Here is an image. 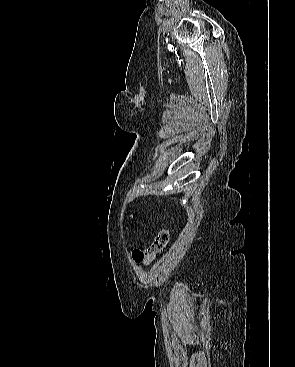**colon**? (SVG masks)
Masks as SVG:
<instances>
[{
	"instance_id": "obj_1",
	"label": "colon",
	"mask_w": 295,
	"mask_h": 367,
	"mask_svg": "<svg viewBox=\"0 0 295 367\" xmlns=\"http://www.w3.org/2000/svg\"><path fill=\"white\" fill-rule=\"evenodd\" d=\"M170 239L168 228L161 229L155 236L153 242L145 250H135L133 253L134 260L140 262H150L156 255L161 253L167 246Z\"/></svg>"
}]
</instances>
